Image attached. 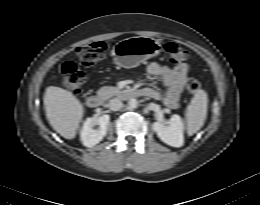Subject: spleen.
Wrapping results in <instances>:
<instances>
[{
  "label": "spleen",
  "instance_id": "spleen-1",
  "mask_svg": "<svg viewBox=\"0 0 260 205\" xmlns=\"http://www.w3.org/2000/svg\"><path fill=\"white\" fill-rule=\"evenodd\" d=\"M207 93L198 89L186 109L187 133L189 136L197 133L204 125L207 116Z\"/></svg>",
  "mask_w": 260,
  "mask_h": 205
}]
</instances>
